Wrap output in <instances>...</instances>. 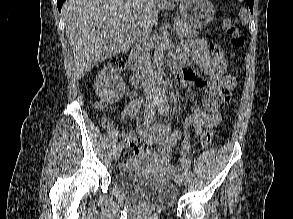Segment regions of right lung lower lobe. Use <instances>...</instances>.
I'll list each match as a JSON object with an SVG mask.
<instances>
[{"label":"right lung lower lobe","mask_w":293,"mask_h":219,"mask_svg":"<svg viewBox=\"0 0 293 219\" xmlns=\"http://www.w3.org/2000/svg\"><path fill=\"white\" fill-rule=\"evenodd\" d=\"M65 0H57V7H58V10L61 11V6L63 4Z\"/></svg>","instance_id":"98d812e1"}]
</instances>
